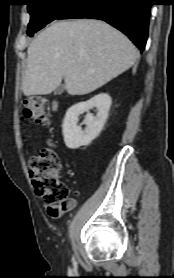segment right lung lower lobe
Masks as SVG:
<instances>
[{"instance_id": "1", "label": "right lung lower lobe", "mask_w": 174, "mask_h": 278, "mask_svg": "<svg viewBox=\"0 0 174 278\" xmlns=\"http://www.w3.org/2000/svg\"><path fill=\"white\" fill-rule=\"evenodd\" d=\"M151 5V0H77L56 19L104 20L126 34L143 51Z\"/></svg>"}]
</instances>
